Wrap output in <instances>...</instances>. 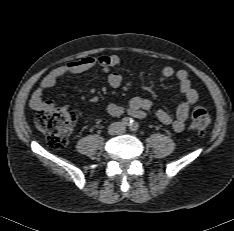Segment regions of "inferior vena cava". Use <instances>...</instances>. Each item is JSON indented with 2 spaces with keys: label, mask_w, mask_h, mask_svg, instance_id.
I'll return each instance as SVG.
<instances>
[{
  "label": "inferior vena cava",
  "mask_w": 234,
  "mask_h": 231,
  "mask_svg": "<svg viewBox=\"0 0 234 231\" xmlns=\"http://www.w3.org/2000/svg\"><path fill=\"white\" fill-rule=\"evenodd\" d=\"M124 130H125V127L119 122L112 123L109 128V132L112 135L121 134L124 132Z\"/></svg>",
  "instance_id": "inferior-vena-cava-1"
}]
</instances>
